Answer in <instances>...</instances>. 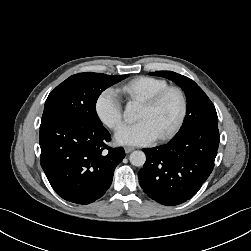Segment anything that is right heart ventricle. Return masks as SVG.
Listing matches in <instances>:
<instances>
[{
	"label": "right heart ventricle",
	"instance_id": "right-heart-ventricle-1",
	"mask_svg": "<svg viewBox=\"0 0 251 251\" xmlns=\"http://www.w3.org/2000/svg\"><path fill=\"white\" fill-rule=\"evenodd\" d=\"M166 86L164 79L140 76L121 85L119 91L128 101L142 102Z\"/></svg>",
	"mask_w": 251,
	"mask_h": 251
}]
</instances>
